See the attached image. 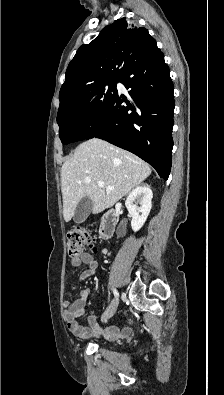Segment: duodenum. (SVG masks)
Returning a JSON list of instances; mask_svg holds the SVG:
<instances>
[{"mask_svg":"<svg viewBox=\"0 0 224 395\" xmlns=\"http://www.w3.org/2000/svg\"><path fill=\"white\" fill-rule=\"evenodd\" d=\"M117 218L118 213L115 209H108L104 212L99 229V234L102 239H110L113 237Z\"/></svg>","mask_w":224,"mask_h":395,"instance_id":"obj_1","label":"duodenum"}]
</instances>
